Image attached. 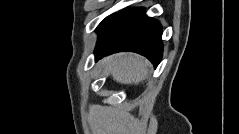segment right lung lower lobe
<instances>
[{
	"label": "right lung lower lobe",
	"instance_id": "right-lung-lower-lobe-1",
	"mask_svg": "<svg viewBox=\"0 0 239 134\" xmlns=\"http://www.w3.org/2000/svg\"><path fill=\"white\" fill-rule=\"evenodd\" d=\"M97 33L96 60L115 52L132 51L147 57L155 67L161 61L162 27L158 21L147 17L143 8L113 14Z\"/></svg>",
	"mask_w": 239,
	"mask_h": 134
}]
</instances>
